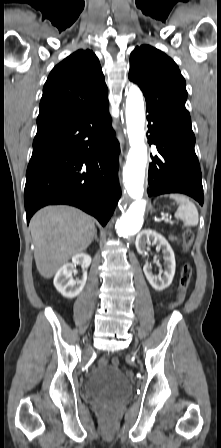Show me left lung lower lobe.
Masks as SVG:
<instances>
[{
  "label": "left lung lower lobe",
  "mask_w": 221,
  "mask_h": 448,
  "mask_svg": "<svg viewBox=\"0 0 221 448\" xmlns=\"http://www.w3.org/2000/svg\"><path fill=\"white\" fill-rule=\"evenodd\" d=\"M148 113V142L155 144L158 150L149 165L148 195L184 193L203 205L201 170L194 151L193 132L158 114Z\"/></svg>",
  "instance_id": "obj_1"
}]
</instances>
